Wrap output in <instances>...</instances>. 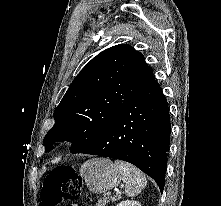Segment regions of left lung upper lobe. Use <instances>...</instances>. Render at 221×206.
<instances>
[{
	"label": "left lung upper lobe",
	"mask_w": 221,
	"mask_h": 206,
	"mask_svg": "<svg viewBox=\"0 0 221 206\" xmlns=\"http://www.w3.org/2000/svg\"><path fill=\"white\" fill-rule=\"evenodd\" d=\"M155 82L143 55L129 45L110 47L94 57L73 80L54 111L55 124L44 142H72L75 154L94 142L116 117Z\"/></svg>",
	"instance_id": "left-lung-upper-lobe-1"
}]
</instances>
